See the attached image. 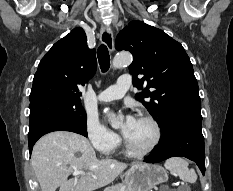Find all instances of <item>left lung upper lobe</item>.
I'll use <instances>...</instances> for the list:
<instances>
[{"mask_svg": "<svg viewBox=\"0 0 233 191\" xmlns=\"http://www.w3.org/2000/svg\"><path fill=\"white\" fill-rule=\"evenodd\" d=\"M117 50H128L133 85L142 89L136 99L158 122L162 134L182 120L202 122L198 83L183 46L164 31L141 21H132L117 36ZM137 75H142L138 78ZM150 89V90H149Z\"/></svg>", "mask_w": 233, "mask_h": 191, "instance_id": "obj_1", "label": "left lung upper lobe"}]
</instances>
